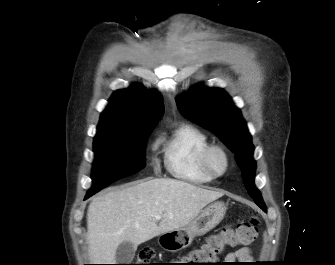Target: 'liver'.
<instances>
[{
	"label": "liver",
	"instance_id": "6515ba94",
	"mask_svg": "<svg viewBox=\"0 0 335 265\" xmlns=\"http://www.w3.org/2000/svg\"><path fill=\"white\" fill-rule=\"evenodd\" d=\"M223 192L175 179L133 182L94 197L87 211L88 253L93 264H114L118 246L136 247L188 225ZM156 214L162 218L157 224ZM97 262V263H96ZM105 262V263H102Z\"/></svg>",
	"mask_w": 335,
	"mask_h": 265
}]
</instances>
